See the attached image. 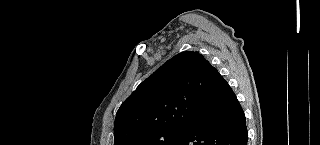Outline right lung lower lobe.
<instances>
[{"label": "right lung lower lobe", "instance_id": "98d812e1", "mask_svg": "<svg viewBox=\"0 0 320 145\" xmlns=\"http://www.w3.org/2000/svg\"><path fill=\"white\" fill-rule=\"evenodd\" d=\"M219 92L216 109L186 126L171 145H247L245 115L236 95L225 80Z\"/></svg>", "mask_w": 320, "mask_h": 145}]
</instances>
